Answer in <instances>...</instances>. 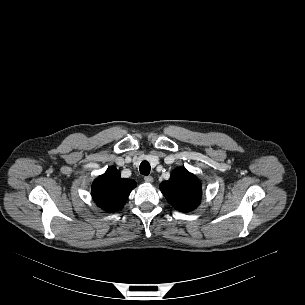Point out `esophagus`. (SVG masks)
<instances>
[{"label": "esophagus", "instance_id": "1", "mask_svg": "<svg viewBox=\"0 0 305 305\" xmlns=\"http://www.w3.org/2000/svg\"><path fill=\"white\" fill-rule=\"evenodd\" d=\"M144 181L148 184H151L154 181V179L152 176H145Z\"/></svg>", "mask_w": 305, "mask_h": 305}]
</instances>
